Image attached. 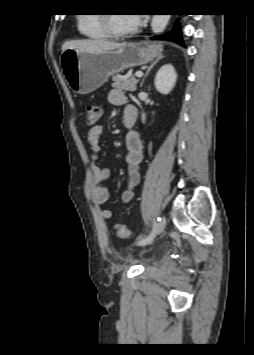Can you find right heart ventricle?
<instances>
[{
  "label": "right heart ventricle",
  "mask_w": 254,
  "mask_h": 355,
  "mask_svg": "<svg viewBox=\"0 0 254 355\" xmlns=\"http://www.w3.org/2000/svg\"><path fill=\"white\" fill-rule=\"evenodd\" d=\"M100 14H86L78 17V30L79 32L90 39H105L107 37L101 24Z\"/></svg>",
  "instance_id": "1"
}]
</instances>
